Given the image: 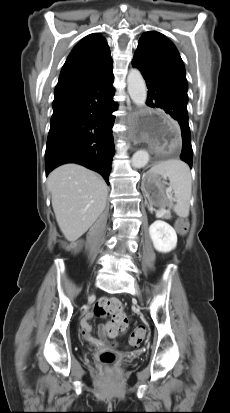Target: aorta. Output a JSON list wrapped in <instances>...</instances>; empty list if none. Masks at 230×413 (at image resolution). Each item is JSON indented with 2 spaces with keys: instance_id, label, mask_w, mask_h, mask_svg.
Returning <instances> with one entry per match:
<instances>
[{
  "instance_id": "1",
  "label": "aorta",
  "mask_w": 230,
  "mask_h": 413,
  "mask_svg": "<svg viewBox=\"0 0 230 413\" xmlns=\"http://www.w3.org/2000/svg\"><path fill=\"white\" fill-rule=\"evenodd\" d=\"M128 93L137 106H144L147 99V89L141 72L132 68L127 76ZM149 154L145 150H139L132 156L131 163L134 168H142L147 165Z\"/></svg>"
}]
</instances>
